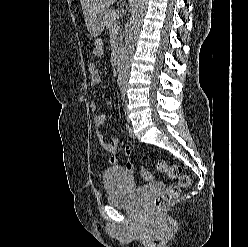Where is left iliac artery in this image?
I'll use <instances>...</instances> for the list:
<instances>
[{
	"mask_svg": "<svg viewBox=\"0 0 248 247\" xmlns=\"http://www.w3.org/2000/svg\"><path fill=\"white\" fill-rule=\"evenodd\" d=\"M122 90V89H121ZM125 97V93H124V89L122 90V98L124 99Z\"/></svg>",
	"mask_w": 248,
	"mask_h": 247,
	"instance_id": "obj_1",
	"label": "left iliac artery"
}]
</instances>
